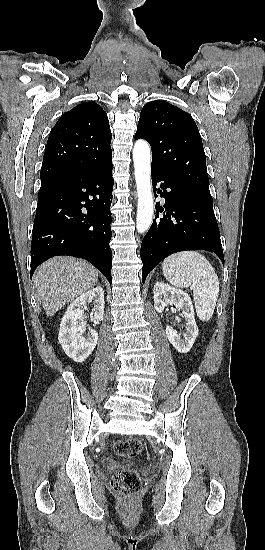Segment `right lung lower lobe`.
Listing matches in <instances>:
<instances>
[{"label": "right lung lower lobe", "mask_w": 265, "mask_h": 550, "mask_svg": "<svg viewBox=\"0 0 265 550\" xmlns=\"http://www.w3.org/2000/svg\"><path fill=\"white\" fill-rule=\"evenodd\" d=\"M113 184L112 159L41 184L31 243V277L47 259L69 255L86 259L111 283Z\"/></svg>", "instance_id": "right-lung-lower-lobe-1"}]
</instances>
